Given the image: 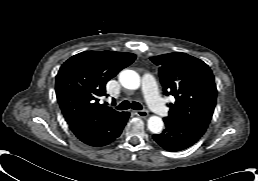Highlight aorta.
<instances>
[{
    "label": "aorta",
    "instance_id": "obj_1",
    "mask_svg": "<svg viewBox=\"0 0 258 181\" xmlns=\"http://www.w3.org/2000/svg\"><path fill=\"white\" fill-rule=\"evenodd\" d=\"M119 82L124 88L136 90L140 87L141 80L137 72L126 69L120 72ZM147 125L148 129L155 134L160 133L164 126L162 119L158 116H151Z\"/></svg>",
    "mask_w": 258,
    "mask_h": 181
}]
</instances>
